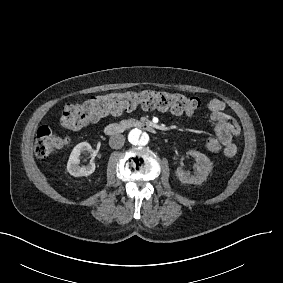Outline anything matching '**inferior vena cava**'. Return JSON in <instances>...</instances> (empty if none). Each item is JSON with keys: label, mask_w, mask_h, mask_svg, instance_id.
<instances>
[{"label": "inferior vena cava", "mask_w": 283, "mask_h": 283, "mask_svg": "<svg viewBox=\"0 0 283 283\" xmlns=\"http://www.w3.org/2000/svg\"><path fill=\"white\" fill-rule=\"evenodd\" d=\"M125 143V137L121 134H115L110 137L109 139V145L113 149H120L123 147Z\"/></svg>", "instance_id": "602c4592"}]
</instances>
